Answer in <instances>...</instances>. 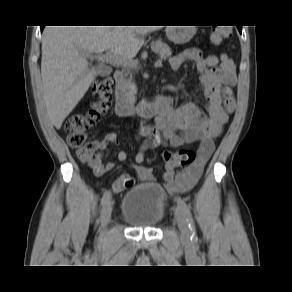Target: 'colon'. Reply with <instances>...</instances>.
Returning a JSON list of instances; mask_svg holds the SVG:
<instances>
[{
  "instance_id": "5ec220e1",
  "label": "colon",
  "mask_w": 292,
  "mask_h": 292,
  "mask_svg": "<svg viewBox=\"0 0 292 292\" xmlns=\"http://www.w3.org/2000/svg\"><path fill=\"white\" fill-rule=\"evenodd\" d=\"M232 34L231 27L221 25L213 29L211 42L215 45L221 44L226 38ZM92 95L95 100L90 108L78 114L69 117L64 125L67 133V141L69 145L77 149V155L81 161H89L95 152V145L87 141L88 130L111 108L113 101V84L109 78L97 81L92 87ZM223 104L228 113H232L236 107V101L233 91L229 87L223 90ZM165 159L168 162L177 163L180 166H187L194 163L196 154L189 149H182L177 153H165ZM124 187L132 185V178L128 175L122 177Z\"/></svg>"
}]
</instances>
